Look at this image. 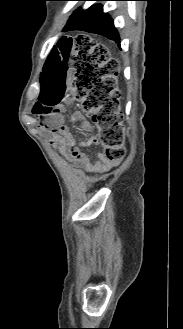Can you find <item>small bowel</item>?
I'll return each instance as SVG.
<instances>
[{
    "label": "small bowel",
    "mask_w": 183,
    "mask_h": 329,
    "mask_svg": "<svg viewBox=\"0 0 183 329\" xmlns=\"http://www.w3.org/2000/svg\"><path fill=\"white\" fill-rule=\"evenodd\" d=\"M76 121L81 128L87 133H91V125L81 115L76 116ZM43 125L53 126L51 118L43 119ZM51 131V130H50ZM53 132L56 136L51 139V144L57 148L66 159L73 162L87 172H101L109 167V163L104 159L102 154L98 155V159L92 163L89 157L80 149L88 148L97 143L94 136H90L87 140L81 141L79 147L75 145V140L67 126L57 127Z\"/></svg>",
    "instance_id": "obj_1"
}]
</instances>
